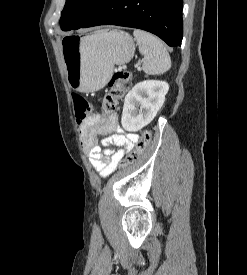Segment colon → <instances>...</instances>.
Here are the masks:
<instances>
[{
    "instance_id": "obj_1",
    "label": "colon",
    "mask_w": 247,
    "mask_h": 275,
    "mask_svg": "<svg viewBox=\"0 0 247 275\" xmlns=\"http://www.w3.org/2000/svg\"><path fill=\"white\" fill-rule=\"evenodd\" d=\"M131 74L128 70H116L108 83L109 91L104 97L103 107L107 114L111 113L118 102L123 97L125 92V85L129 82ZM74 109L76 120L78 124H82L92 113V105L90 102L79 94L73 95ZM151 141V134L149 131H142L140 138L135 148L119 163L120 167H125L136 162L141 155L146 151Z\"/></svg>"
}]
</instances>
